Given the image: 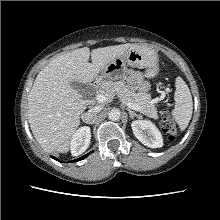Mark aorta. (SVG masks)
Instances as JSON below:
<instances>
[{"instance_id": "obj_1", "label": "aorta", "mask_w": 220, "mask_h": 220, "mask_svg": "<svg viewBox=\"0 0 220 220\" xmlns=\"http://www.w3.org/2000/svg\"><path fill=\"white\" fill-rule=\"evenodd\" d=\"M120 116H121V112L119 109L117 108H113L110 110L109 114H108V117L110 120L112 121H117L120 119Z\"/></svg>"}]
</instances>
